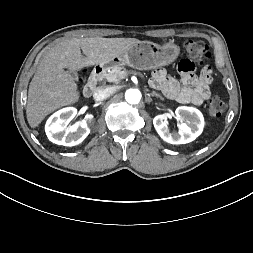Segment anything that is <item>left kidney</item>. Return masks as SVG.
I'll use <instances>...</instances> for the list:
<instances>
[{"label": "left kidney", "mask_w": 253, "mask_h": 253, "mask_svg": "<svg viewBox=\"0 0 253 253\" xmlns=\"http://www.w3.org/2000/svg\"><path fill=\"white\" fill-rule=\"evenodd\" d=\"M182 122L178 133H171L168 128V113L157 115L153 119L154 127L159 136L170 144H186L195 140L203 131L204 118L202 113L194 107L180 106L175 111Z\"/></svg>", "instance_id": "left-kidney-1"}]
</instances>
